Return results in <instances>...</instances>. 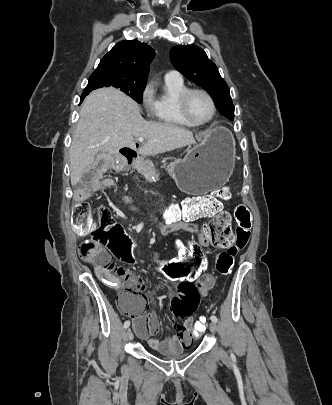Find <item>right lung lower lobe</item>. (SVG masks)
<instances>
[{
  "mask_svg": "<svg viewBox=\"0 0 332 405\" xmlns=\"http://www.w3.org/2000/svg\"><path fill=\"white\" fill-rule=\"evenodd\" d=\"M90 93V91H85L84 90V92L82 93V95H81V102L83 101V99L88 95ZM80 102V103H81Z\"/></svg>",
  "mask_w": 332,
  "mask_h": 405,
  "instance_id": "obj_1",
  "label": "right lung lower lobe"
}]
</instances>
